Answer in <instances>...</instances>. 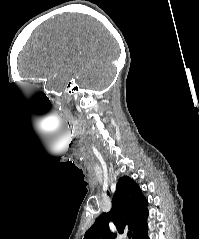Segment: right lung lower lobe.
Returning a JSON list of instances; mask_svg holds the SVG:
<instances>
[{
    "mask_svg": "<svg viewBox=\"0 0 199 239\" xmlns=\"http://www.w3.org/2000/svg\"><path fill=\"white\" fill-rule=\"evenodd\" d=\"M148 225L147 221H145L141 227L133 234V239H149L148 235Z\"/></svg>",
    "mask_w": 199,
    "mask_h": 239,
    "instance_id": "1",
    "label": "right lung lower lobe"
}]
</instances>
